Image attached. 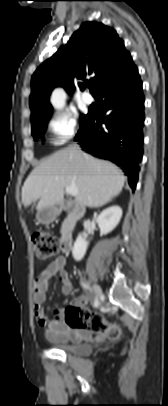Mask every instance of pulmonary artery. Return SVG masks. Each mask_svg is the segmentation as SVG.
I'll list each match as a JSON object with an SVG mask.
<instances>
[{"label":"pulmonary artery","instance_id":"1","mask_svg":"<svg viewBox=\"0 0 168 406\" xmlns=\"http://www.w3.org/2000/svg\"><path fill=\"white\" fill-rule=\"evenodd\" d=\"M83 101H84L86 104L90 105V104L93 103L94 98H93V96H92L90 93L86 92V93L83 94Z\"/></svg>","mask_w":168,"mask_h":406}]
</instances>
